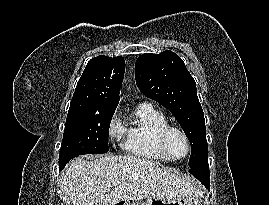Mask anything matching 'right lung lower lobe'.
Here are the masks:
<instances>
[{
	"mask_svg": "<svg viewBox=\"0 0 269 205\" xmlns=\"http://www.w3.org/2000/svg\"><path fill=\"white\" fill-rule=\"evenodd\" d=\"M73 157H76L75 155H68L65 159L59 161V169L62 170L64 166L67 164V162L72 159Z\"/></svg>",
	"mask_w": 269,
	"mask_h": 205,
	"instance_id": "obj_1",
	"label": "right lung lower lobe"
}]
</instances>
